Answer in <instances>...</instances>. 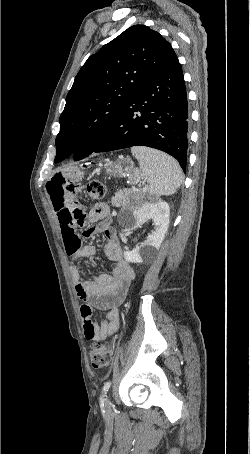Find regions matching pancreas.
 I'll return each mask as SVG.
<instances>
[{
	"label": "pancreas",
	"instance_id": "1",
	"mask_svg": "<svg viewBox=\"0 0 250 454\" xmlns=\"http://www.w3.org/2000/svg\"><path fill=\"white\" fill-rule=\"evenodd\" d=\"M132 197L139 200L142 197V193L134 192ZM111 203L114 206H118L119 204H121L122 206H127V204H128L125 200V197L121 193H117L114 197H112Z\"/></svg>",
	"mask_w": 250,
	"mask_h": 454
}]
</instances>
